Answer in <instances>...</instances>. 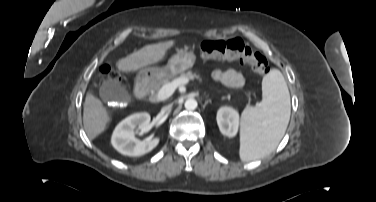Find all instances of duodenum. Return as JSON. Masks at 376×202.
<instances>
[{
	"instance_id": "obj_1",
	"label": "duodenum",
	"mask_w": 376,
	"mask_h": 202,
	"mask_svg": "<svg viewBox=\"0 0 376 202\" xmlns=\"http://www.w3.org/2000/svg\"><path fill=\"white\" fill-rule=\"evenodd\" d=\"M149 91V82L146 78L138 80L135 86V96L137 99H143L147 96Z\"/></svg>"
}]
</instances>
